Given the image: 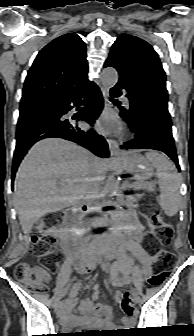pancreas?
<instances>
[{
    "instance_id": "pancreas-1",
    "label": "pancreas",
    "mask_w": 194,
    "mask_h": 336,
    "mask_svg": "<svg viewBox=\"0 0 194 336\" xmlns=\"http://www.w3.org/2000/svg\"><path fill=\"white\" fill-rule=\"evenodd\" d=\"M129 188H132L135 193H149L153 190V187L150 185V183L144 181V180H138L130 185H128ZM126 209L128 211H135L137 209V206L135 203L137 202V198L133 196V194H126Z\"/></svg>"
}]
</instances>
